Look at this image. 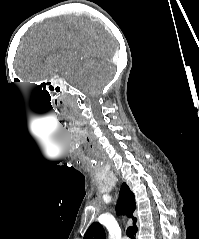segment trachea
Listing matches in <instances>:
<instances>
[{"label": "trachea", "instance_id": "1", "mask_svg": "<svg viewBox=\"0 0 199 239\" xmlns=\"http://www.w3.org/2000/svg\"><path fill=\"white\" fill-rule=\"evenodd\" d=\"M126 234L130 239H134V231H133V227H128L126 230Z\"/></svg>", "mask_w": 199, "mask_h": 239}]
</instances>
